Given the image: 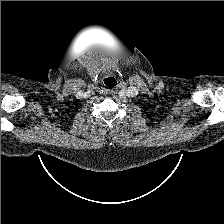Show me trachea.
Instances as JSON below:
<instances>
[{
  "instance_id": "obj_1",
  "label": "trachea",
  "mask_w": 224,
  "mask_h": 224,
  "mask_svg": "<svg viewBox=\"0 0 224 224\" xmlns=\"http://www.w3.org/2000/svg\"><path fill=\"white\" fill-rule=\"evenodd\" d=\"M104 84L109 88H113L114 86L117 85V81L115 78L110 77V78L104 80Z\"/></svg>"
}]
</instances>
